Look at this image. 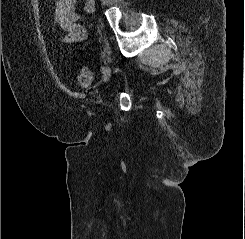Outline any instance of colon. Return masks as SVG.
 Wrapping results in <instances>:
<instances>
[{
	"label": "colon",
	"mask_w": 245,
	"mask_h": 239,
	"mask_svg": "<svg viewBox=\"0 0 245 239\" xmlns=\"http://www.w3.org/2000/svg\"><path fill=\"white\" fill-rule=\"evenodd\" d=\"M77 82L82 88H89L93 84V75L86 64H83L78 75Z\"/></svg>",
	"instance_id": "colon-1"
}]
</instances>
